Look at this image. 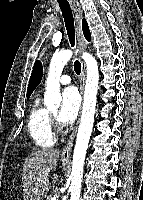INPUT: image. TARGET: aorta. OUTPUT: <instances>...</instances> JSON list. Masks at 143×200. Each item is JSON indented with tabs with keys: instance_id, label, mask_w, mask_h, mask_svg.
Wrapping results in <instances>:
<instances>
[{
	"instance_id": "762f6f07",
	"label": "aorta",
	"mask_w": 143,
	"mask_h": 200,
	"mask_svg": "<svg viewBox=\"0 0 143 200\" xmlns=\"http://www.w3.org/2000/svg\"><path fill=\"white\" fill-rule=\"evenodd\" d=\"M72 55L73 52L68 49L55 53L51 59L46 80V92L44 94V103L49 109L60 106L62 100L60 94V76L64 66L71 59ZM82 59L86 64L87 77L81 121L73 152L70 200H80L83 167L93 128L99 83V70L96 59L87 52H83Z\"/></svg>"
}]
</instances>
